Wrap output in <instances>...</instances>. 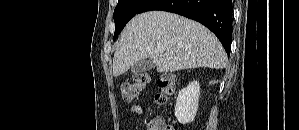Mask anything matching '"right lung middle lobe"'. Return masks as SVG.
Masks as SVG:
<instances>
[{
	"label": "right lung middle lobe",
	"mask_w": 299,
	"mask_h": 130,
	"mask_svg": "<svg viewBox=\"0 0 299 130\" xmlns=\"http://www.w3.org/2000/svg\"><path fill=\"white\" fill-rule=\"evenodd\" d=\"M148 0H118L114 10L115 33L114 40L128 23V21L138 14L141 7Z\"/></svg>",
	"instance_id": "dd1d6c3e"
}]
</instances>
